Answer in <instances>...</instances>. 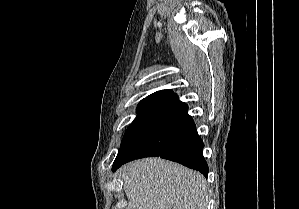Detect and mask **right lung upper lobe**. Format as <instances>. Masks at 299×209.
I'll return each instance as SVG.
<instances>
[{"mask_svg":"<svg viewBox=\"0 0 299 209\" xmlns=\"http://www.w3.org/2000/svg\"><path fill=\"white\" fill-rule=\"evenodd\" d=\"M174 95L172 90H161L157 91L146 98H144L140 104H153V105H160L164 103L166 100L171 98Z\"/></svg>","mask_w":299,"mask_h":209,"instance_id":"right-lung-upper-lobe-1","label":"right lung upper lobe"}]
</instances>
